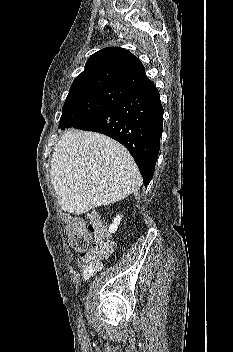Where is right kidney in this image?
<instances>
[{
	"instance_id": "ca27d5eb",
	"label": "right kidney",
	"mask_w": 233,
	"mask_h": 352,
	"mask_svg": "<svg viewBox=\"0 0 233 352\" xmlns=\"http://www.w3.org/2000/svg\"><path fill=\"white\" fill-rule=\"evenodd\" d=\"M121 215H117L114 219H113V223L109 226V232L110 233H115L117 231L118 225L121 222Z\"/></svg>"
}]
</instances>
